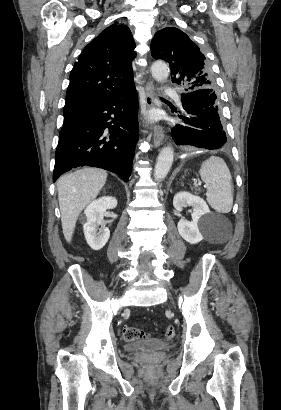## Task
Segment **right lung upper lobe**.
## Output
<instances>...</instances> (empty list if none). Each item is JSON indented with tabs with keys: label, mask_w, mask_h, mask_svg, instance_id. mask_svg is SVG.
Segmentation results:
<instances>
[{
	"label": "right lung upper lobe",
	"mask_w": 281,
	"mask_h": 410,
	"mask_svg": "<svg viewBox=\"0 0 281 410\" xmlns=\"http://www.w3.org/2000/svg\"><path fill=\"white\" fill-rule=\"evenodd\" d=\"M135 42L126 25L103 30L81 52L70 73L66 109H83L133 86Z\"/></svg>",
	"instance_id": "1"
}]
</instances>
